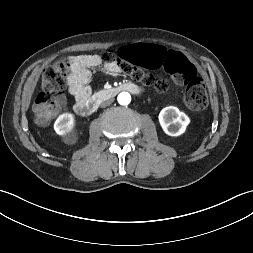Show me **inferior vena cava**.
Listing matches in <instances>:
<instances>
[{
    "mask_svg": "<svg viewBox=\"0 0 253 253\" xmlns=\"http://www.w3.org/2000/svg\"><path fill=\"white\" fill-rule=\"evenodd\" d=\"M112 102H113V99H108V100L101 103V107L105 108V107L109 106L110 104H112Z\"/></svg>",
    "mask_w": 253,
    "mask_h": 253,
    "instance_id": "1",
    "label": "inferior vena cava"
}]
</instances>
